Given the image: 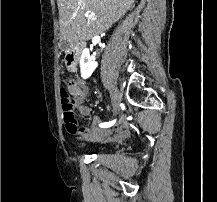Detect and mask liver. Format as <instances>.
Segmentation results:
<instances>
[{
	"instance_id": "obj_1",
	"label": "liver",
	"mask_w": 217,
	"mask_h": 202,
	"mask_svg": "<svg viewBox=\"0 0 217 202\" xmlns=\"http://www.w3.org/2000/svg\"><path fill=\"white\" fill-rule=\"evenodd\" d=\"M135 0H57L61 40L86 42L125 16ZM97 18V20H93Z\"/></svg>"
}]
</instances>
